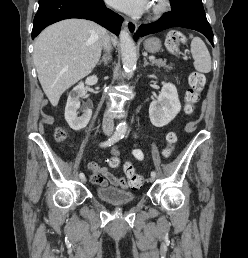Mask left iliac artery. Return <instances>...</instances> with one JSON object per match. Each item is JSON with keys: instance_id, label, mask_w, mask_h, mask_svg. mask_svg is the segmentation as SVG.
<instances>
[{"instance_id": "obj_1", "label": "left iliac artery", "mask_w": 248, "mask_h": 258, "mask_svg": "<svg viewBox=\"0 0 248 258\" xmlns=\"http://www.w3.org/2000/svg\"><path fill=\"white\" fill-rule=\"evenodd\" d=\"M124 137V135L122 136V138ZM151 176H153V177H156V172L155 171H152L151 172Z\"/></svg>"}]
</instances>
